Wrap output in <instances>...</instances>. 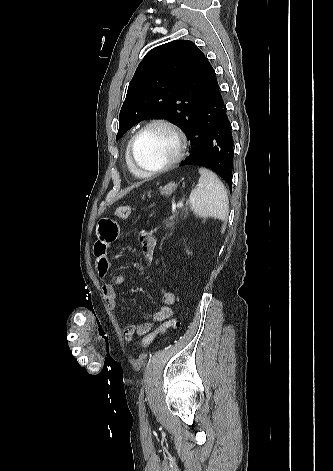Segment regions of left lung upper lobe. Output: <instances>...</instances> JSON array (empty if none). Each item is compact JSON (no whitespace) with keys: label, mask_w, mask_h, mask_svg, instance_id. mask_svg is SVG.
I'll use <instances>...</instances> for the list:
<instances>
[{"label":"left lung upper lobe","mask_w":333,"mask_h":471,"mask_svg":"<svg viewBox=\"0 0 333 471\" xmlns=\"http://www.w3.org/2000/svg\"><path fill=\"white\" fill-rule=\"evenodd\" d=\"M215 75L192 41L176 40L151 49L128 86L116 139L148 118L171 120L188 135Z\"/></svg>","instance_id":"1"}]
</instances>
